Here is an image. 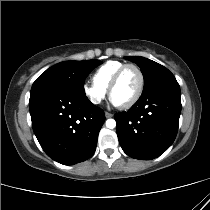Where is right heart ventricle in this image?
I'll use <instances>...</instances> for the list:
<instances>
[{"instance_id":"right-heart-ventricle-1","label":"right heart ventricle","mask_w":210,"mask_h":210,"mask_svg":"<svg viewBox=\"0 0 210 210\" xmlns=\"http://www.w3.org/2000/svg\"><path fill=\"white\" fill-rule=\"evenodd\" d=\"M124 64V62L117 60H110L105 62L93 73V83L105 90H108L109 84L114 74Z\"/></svg>"}]
</instances>
